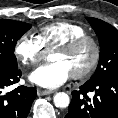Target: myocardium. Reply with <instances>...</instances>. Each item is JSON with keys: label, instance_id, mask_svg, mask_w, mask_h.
Segmentation results:
<instances>
[{"label": "myocardium", "instance_id": "1", "mask_svg": "<svg viewBox=\"0 0 118 118\" xmlns=\"http://www.w3.org/2000/svg\"><path fill=\"white\" fill-rule=\"evenodd\" d=\"M87 44H89L92 48V59L83 71L71 74V77L75 80H83L89 78L97 68L101 58V46L99 41L93 36L85 34L73 38L54 49V51L69 54Z\"/></svg>", "mask_w": 118, "mask_h": 118}]
</instances>
